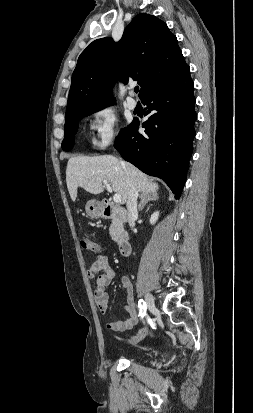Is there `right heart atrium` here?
I'll list each match as a JSON object with an SVG mask.
<instances>
[{
  "mask_svg": "<svg viewBox=\"0 0 253 413\" xmlns=\"http://www.w3.org/2000/svg\"><path fill=\"white\" fill-rule=\"evenodd\" d=\"M118 118L115 111L108 106L94 110L90 116L91 143L95 149L104 150L117 137Z\"/></svg>",
  "mask_w": 253,
  "mask_h": 413,
  "instance_id": "d8ad5b80",
  "label": "right heart atrium"
}]
</instances>
